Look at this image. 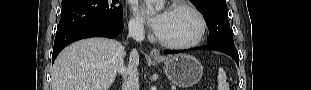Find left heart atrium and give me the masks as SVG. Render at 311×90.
<instances>
[{"label": "left heart atrium", "mask_w": 311, "mask_h": 90, "mask_svg": "<svg viewBox=\"0 0 311 90\" xmlns=\"http://www.w3.org/2000/svg\"><path fill=\"white\" fill-rule=\"evenodd\" d=\"M143 11H144V14L146 15V17L148 18V21H149L151 27L158 34L162 30V28L165 24V21L167 18V12L165 11V12H161V13L156 14V15H150L147 8H144Z\"/></svg>", "instance_id": "left-heart-atrium-1"}]
</instances>
